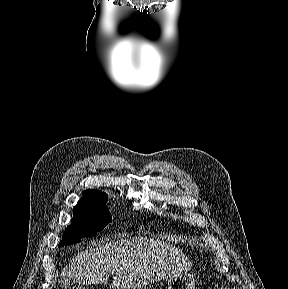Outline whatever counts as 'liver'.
Returning a JSON list of instances; mask_svg holds the SVG:
<instances>
[{"mask_svg":"<svg viewBox=\"0 0 288 289\" xmlns=\"http://www.w3.org/2000/svg\"><path fill=\"white\" fill-rule=\"evenodd\" d=\"M62 270V281L81 285L106 283L118 289H140L192 268L183 252L170 243L146 237L92 242Z\"/></svg>","mask_w":288,"mask_h":289,"instance_id":"6515ba94","label":"liver"}]
</instances>
